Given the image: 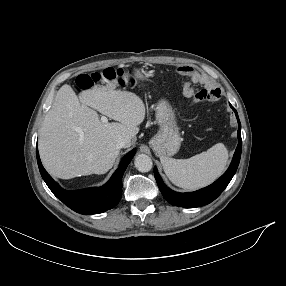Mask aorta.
<instances>
[{
    "label": "aorta",
    "mask_w": 286,
    "mask_h": 286,
    "mask_svg": "<svg viewBox=\"0 0 286 286\" xmlns=\"http://www.w3.org/2000/svg\"><path fill=\"white\" fill-rule=\"evenodd\" d=\"M135 167L140 172H148L152 168V160L146 154H139L135 157L134 161Z\"/></svg>",
    "instance_id": "aorta-1"
}]
</instances>
